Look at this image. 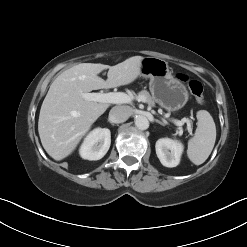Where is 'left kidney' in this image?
I'll return each mask as SVG.
<instances>
[{"label": "left kidney", "mask_w": 247, "mask_h": 247, "mask_svg": "<svg viewBox=\"0 0 247 247\" xmlns=\"http://www.w3.org/2000/svg\"><path fill=\"white\" fill-rule=\"evenodd\" d=\"M156 154L160 162L165 167H176L183 152L182 143L169 139L162 138L156 142Z\"/></svg>", "instance_id": "obj_1"}]
</instances>
